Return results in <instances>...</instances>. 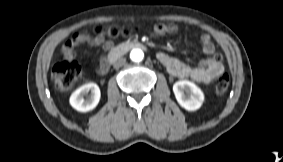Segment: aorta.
Masks as SVG:
<instances>
[{
	"mask_svg": "<svg viewBox=\"0 0 283 162\" xmlns=\"http://www.w3.org/2000/svg\"><path fill=\"white\" fill-rule=\"evenodd\" d=\"M144 58V53L141 49H133L130 53V59L133 62H141Z\"/></svg>",
	"mask_w": 283,
	"mask_h": 162,
	"instance_id": "obj_1",
	"label": "aorta"
}]
</instances>
